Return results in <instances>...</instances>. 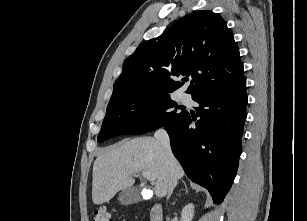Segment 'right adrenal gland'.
I'll list each match as a JSON object with an SVG mask.
<instances>
[{
	"label": "right adrenal gland",
	"instance_id": "1",
	"mask_svg": "<svg viewBox=\"0 0 307 221\" xmlns=\"http://www.w3.org/2000/svg\"><path fill=\"white\" fill-rule=\"evenodd\" d=\"M183 183H184V185H185V191H186V193H188L187 186H186L185 182H183Z\"/></svg>",
	"mask_w": 307,
	"mask_h": 221
}]
</instances>
